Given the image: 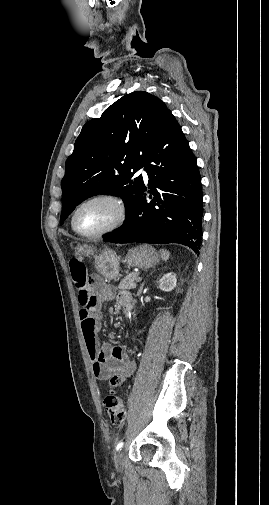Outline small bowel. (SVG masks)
<instances>
[{
	"instance_id": "1",
	"label": "small bowel",
	"mask_w": 269,
	"mask_h": 505,
	"mask_svg": "<svg viewBox=\"0 0 269 505\" xmlns=\"http://www.w3.org/2000/svg\"><path fill=\"white\" fill-rule=\"evenodd\" d=\"M70 267L75 282V294L80 299L81 327L92 360L94 375L101 380L116 378L121 384L134 373L135 361L128 356L125 347L111 346L108 343L100 344L97 339L101 318L99 304L109 300L113 296L114 289L104 284L100 278L94 277L90 280V286L96 295H92L87 281L88 275L83 269L84 261L82 259H72ZM117 301L128 309L132 305L131 295L125 291L117 295Z\"/></svg>"
}]
</instances>
